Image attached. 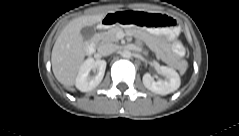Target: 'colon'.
I'll list each match as a JSON object with an SVG mask.
<instances>
[{"label": "colon", "mask_w": 239, "mask_h": 136, "mask_svg": "<svg viewBox=\"0 0 239 136\" xmlns=\"http://www.w3.org/2000/svg\"><path fill=\"white\" fill-rule=\"evenodd\" d=\"M114 16L116 17V20H117V16L116 15H114ZM175 50H176V52L180 51V45L179 44L175 45Z\"/></svg>", "instance_id": "colon-1"}]
</instances>
